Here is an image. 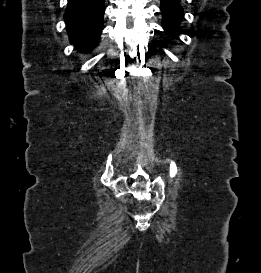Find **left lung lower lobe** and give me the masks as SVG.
I'll return each instance as SVG.
<instances>
[{
    "mask_svg": "<svg viewBox=\"0 0 261 273\" xmlns=\"http://www.w3.org/2000/svg\"><path fill=\"white\" fill-rule=\"evenodd\" d=\"M161 14L163 16L162 26L167 34L173 35L178 33L183 10L180 0H161Z\"/></svg>",
    "mask_w": 261,
    "mask_h": 273,
    "instance_id": "left-lung-lower-lobe-1",
    "label": "left lung lower lobe"
}]
</instances>
